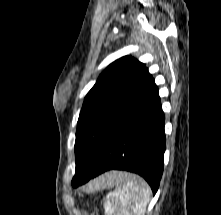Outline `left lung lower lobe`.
Wrapping results in <instances>:
<instances>
[{"label": "left lung lower lobe", "mask_w": 221, "mask_h": 215, "mask_svg": "<svg viewBox=\"0 0 221 215\" xmlns=\"http://www.w3.org/2000/svg\"><path fill=\"white\" fill-rule=\"evenodd\" d=\"M164 125L158 88L151 76L139 95L115 119L87 174L72 182V186L78 187L116 169L139 174L155 194L163 173Z\"/></svg>", "instance_id": "0a47b994"}]
</instances>
